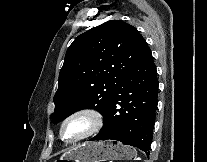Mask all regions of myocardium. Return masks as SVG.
I'll use <instances>...</instances> for the list:
<instances>
[{"label":"myocardium","instance_id":"f54148a6","mask_svg":"<svg viewBox=\"0 0 207 162\" xmlns=\"http://www.w3.org/2000/svg\"><path fill=\"white\" fill-rule=\"evenodd\" d=\"M78 117H86L89 119V121H90L89 129L86 132H84L82 135H80L76 138L66 139L64 136V129H65L66 125ZM103 124H104V116L102 115V113L98 109H96L94 107L80 108V109L74 111L73 113H71L70 115H68L63 120V122L61 123V126H60V133H59L60 138L67 143L78 142V141L84 140V139L89 138L90 136L96 134L102 128Z\"/></svg>","mask_w":207,"mask_h":162}]
</instances>
